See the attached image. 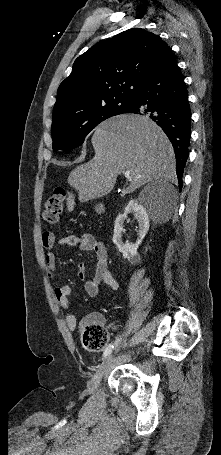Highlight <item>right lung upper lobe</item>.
Here are the masks:
<instances>
[{"mask_svg":"<svg viewBox=\"0 0 221 455\" xmlns=\"http://www.w3.org/2000/svg\"><path fill=\"white\" fill-rule=\"evenodd\" d=\"M171 49L157 35L133 28L97 43L79 56L59 86L52 122L100 102L131 99Z\"/></svg>","mask_w":221,"mask_h":455,"instance_id":"cb5924a9","label":"right lung upper lobe"}]
</instances>
